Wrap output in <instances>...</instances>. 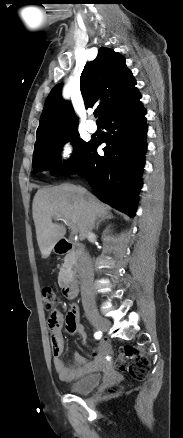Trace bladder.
<instances>
[{
  "mask_svg": "<svg viewBox=\"0 0 183 438\" xmlns=\"http://www.w3.org/2000/svg\"><path fill=\"white\" fill-rule=\"evenodd\" d=\"M100 374L84 375L69 384L72 393L86 394L93 391L101 381Z\"/></svg>",
  "mask_w": 183,
  "mask_h": 438,
  "instance_id": "1",
  "label": "bladder"
}]
</instances>
